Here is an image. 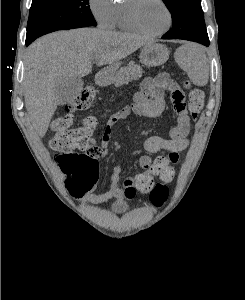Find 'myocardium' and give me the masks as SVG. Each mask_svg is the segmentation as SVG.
Listing matches in <instances>:
<instances>
[{"label": "myocardium", "mask_w": 245, "mask_h": 300, "mask_svg": "<svg viewBox=\"0 0 245 300\" xmlns=\"http://www.w3.org/2000/svg\"><path fill=\"white\" fill-rule=\"evenodd\" d=\"M157 1L165 9L167 18H168V22H167V25L162 30L152 32V31L145 29L138 19V13H137L138 6L142 2V0H127L126 5H125L126 19L129 23V25L133 29H135L137 32H139L143 35H146V36L156 37V36H160V35L166 33L170 29V27L172 25V21H173L171 10H170L169 6L167 5V3L165 2V0H157Z\"/></svg>", "instance_id": "f54148a6"}]
</instances>
